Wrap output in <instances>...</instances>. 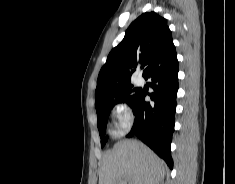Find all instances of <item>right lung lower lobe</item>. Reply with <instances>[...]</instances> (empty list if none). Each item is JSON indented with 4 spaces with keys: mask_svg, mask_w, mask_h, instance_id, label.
<instances>
[{
    "mask_svg": "<svg viewBox=\"0 0 235 184\" xmlns=\"http://www.w3.org/2000/svg\"><path fill=\"white\" fill-rule=\"evenodd\" d=\"M178 61L176 51L153 67L144 78H150L153 89L148 95L152 102L145 101L140 91L130 105L135 114V124L128 137L136 135L172 169L171 140L174 132V115L178 90Z\"/></svg>",
    "mask_w": 235,
    "mask_h": 184,
    "instance_id": "right-lung-lower-lobe-1",
    "label": "right lung lower lobe"
}]
</instances>
